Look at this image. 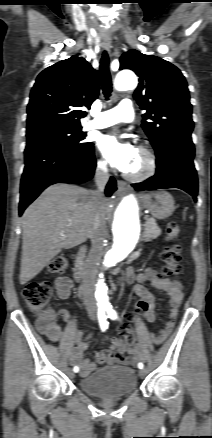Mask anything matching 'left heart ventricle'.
<instances>
[{"mask_svg": "<svg viewBox=\"0 0 212 438\" xmlns=\"http://www.w3.org/2000/svg\"><path fill=\"white\" fill-rule=\"evenodd\" d=\"M146 166L145 159L142 155L138 153L135 161L133 162L132 166L129 168V172H141Z\"/></svg>", "mask_w": 212, "mask_h": 438, "instance_id": "obj_1", "label": "left heart ventricle"}]
</instances>
